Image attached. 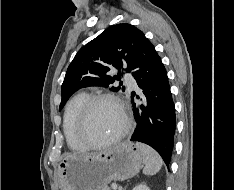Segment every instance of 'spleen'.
Wrapping results in <instances>:
<instances>
[{
	"mask_svg": "<svg viewBox=\"0 0 234 190\" xmlns=\"http://www.w3.org/2000/svg\"><path fill=\"white\" fill-rule=\"evenodd\" d=\"M137 148L141 151L144 161L143 173L148 176L158 173L163 165L160 155L148 145L137 142Z\"/></svg>",
	"mask_w": 234,
	"mask_h": 190,
	"instance_id": "1",
	"label": "spleen"
}]
</instances>
